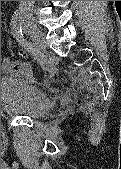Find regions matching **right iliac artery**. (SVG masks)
I'll list each match as a JSON object with an SVG mask.
<instances>
[{
	"mask_svg": "<svg viewBox=\"0 0 121 169\" xmlns=\"http://www.w3.org/2000/svg\"><path fill=\"white\" fill-rule=\"evenodd\" d=\"M12 33L16 40L22 44V46L26 47L27 50H29L35 58L38 60V62L42 65V67L49 69V64L47 63L46 58L43 54H41L36 48H34V45H32L30 42H27L24 38V34L29 33L26 31L23 27L22 23V14L19 10H16L14 12V15L12 16Z\"/></svg>",
	"mask_w": 121,
	"mask_h": 169,
	"instance_id": "obj_1",
	"label": "right iliac artery"
}]
</instances>
